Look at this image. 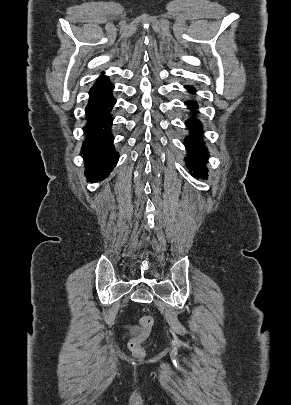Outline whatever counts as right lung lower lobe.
Here are the masks:
<instances>
[{"instance_id": "obj_1", "label": "right lung lower lobe", "mask_w": 291, "mask_h": 405, "mask_svg": "<svg viewBox=\"0 0 291 405\" xmlns=\"http://www.w3.org/2000/svg\"><path fill=\"white\" fill-rule=\"evenodd\" d=\"M114 86L107 77H101L89 91L86 106L88 122L84 127L87 138L81 148L85 160V175L91 183L105 179L118 162L119 155L110 133L111 107L116 103Z\"/></svg>"}]
</instances>
